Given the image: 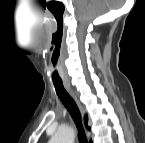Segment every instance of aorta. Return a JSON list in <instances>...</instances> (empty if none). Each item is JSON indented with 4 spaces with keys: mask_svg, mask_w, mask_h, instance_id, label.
<instances>
[{
    "mask_svg": "<svg viewBox=\"0 0 145 143\" xmlns=\"http://www.w3.org/2000/svg\"><path fill=\"white\" fill-rule=\"evenodd\" d=\"M74 132L71 128H61L51 138L52 143H73Z\"/></svg>",
    "mask_w": 145,
    "mask_h": 143,
    "instance_id": "aorta-1",
    "label": "aorta"
}]
</instances>
